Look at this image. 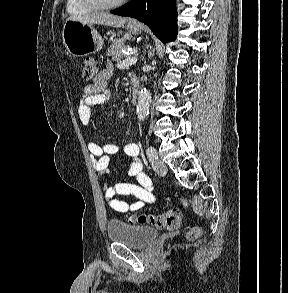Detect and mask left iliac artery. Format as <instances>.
<instances>
[{"mask_svg": "<svg viewBox=\"0 0 288 293\" xmlns=\"http://www.w3.org/2000/svg\"><path fill=\"white\" fill-rule=\"evenodd\" d=\"M146 153L151 163L156 162L158 155L153 147H148Z\"/></svg>", "mask_w": 288, "mask_h": 293, "instance_id": "obj_1", "label": "left iliac artery"}]
</instances>
